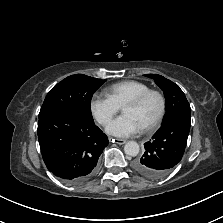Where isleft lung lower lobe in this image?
<instances>
[{
    "label": "left lung lower lobe",
    "mask_w": 223,
    "mask_h": 223,
    "mask_svg": "<svg viewBox=\"0 0 223 223\" xmlns=\"http://www.w3.org/2000/svg\"><path fill=\"white\" fill-rule=\"evenodd\" d=\"M191 122L174 119L161 125L152 140L144 144L145 152L133 163L134 170L149 179L165 177L182 159Z\"/></svg>",
    "instance_id": "left-lung-lower-lobe-1"
}]
</instances>
